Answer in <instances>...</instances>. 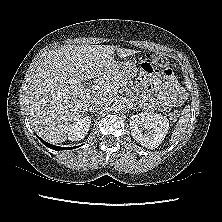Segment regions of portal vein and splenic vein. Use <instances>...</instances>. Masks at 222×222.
I'll list each match as a JSON object with an SVG mask.
<instances>
[{
  "label": "portal vein and splenic vein",
  "mask_w": 222,
  "mask_h": 222,
  "mask_svg": "<svg viewBox=\"0 0 222 222\" xmlns=\"http://www.w3.org/2000/svg\"><path fill=\"white\" fill-rule=\"evenodd\" d=\"M118 88L119 86L115 84H102L100 86L98 85L94 86L95 90H105L107 93L115 92Z\"/></svg>",
  "instance_id": "1"
}]
</instances>
